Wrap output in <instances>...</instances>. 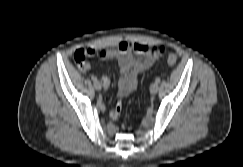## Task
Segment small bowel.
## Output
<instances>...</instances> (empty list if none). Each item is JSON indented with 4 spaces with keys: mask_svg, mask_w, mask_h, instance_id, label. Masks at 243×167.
Segmentation results:
<instances>
[{
    "mask_svg": "<svg viewBox=\"0 0 243 167\" xmlns=\"http://www.w3.org/2000/svg\"><path fill=\"white\" fill-rule=\"evenodd\" d=\"M90 56H98L103 59L118 58L120 79L118 83V96L120 98L132 93L138 82L140 74L149 69L156 59L165 51V47H156L146 43L130 44L120 42L115 48L97 50L90 49ZM88 69V63L80 67ZM103 88L107 90L110 86V79L107 76L101 78ZM121 103L118 102L109 113L111 119L116 120L121 114Z\"/></svg>",
    "mask_w": 243,
    "mask_h": 167,
    "instance_id": "1",
    "label": "small bowel"
}]
</instances>
